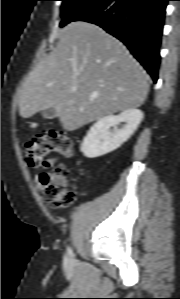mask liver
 Returning a JSON list of instances; mask_svg holds the SVG:
<instances>
[{
  "mask_svg": "<svg viewBox=\"0 0 180 299\" xmlns=\"http://www.w3.org/2000/svg\"><path fill=\"white\" fill-rule=\"evenodd\" d=\"M147 80L119 40L94 24L72 22L61 31L56 48L26 78L18 92L19 113L29 118L54 108L62 127L74 131L140 107L147 97Z\"/></svg>",
  "mask_w": 180,
  "mask_h": 299,
  "instance_id": "1",
  "label": "liver"
}]
</instances>
